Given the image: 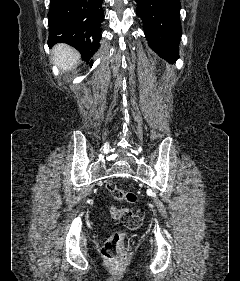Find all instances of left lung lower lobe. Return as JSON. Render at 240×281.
Returning a JSON list of instances; mask_svg holds the SVG:
<instances>
[{"instance_id": "obj_1", "label": "left lung lower lobe", "mask_w": 240, "mask_h": 281, "mask_svg": "<svg viewBox=\"0 0 240 281\" xmlns=\"http://www.w3.org/2000/svg\"><path fill=\"white\" fill-rule=\"evenodd\" d=\"M148 44L160 57L173 63L181 36L180 0H135Z\"/></svg>"}]
</instances>
